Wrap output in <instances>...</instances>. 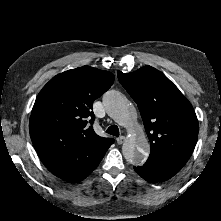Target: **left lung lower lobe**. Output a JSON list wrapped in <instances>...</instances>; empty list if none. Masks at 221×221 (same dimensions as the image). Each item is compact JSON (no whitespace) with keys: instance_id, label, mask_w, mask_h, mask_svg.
I'll return each mask as SVG.
<instances>
[{"instance_id":"0a47b994","label":"left lung lower lobe","mask_w":221,"mask_h":221,"mask_svg":"<svg viewBox=\"0 0 221 221\" xmlns=\"http://www.w3.org/2000/svg\"><path fill=\"white\" fill-rule=\"evenodd\" d=\"M135 171L148 182L166 181L177 172L162 166L145 163L143 166L134 167Z\"/></svg>"}]
</instances>
